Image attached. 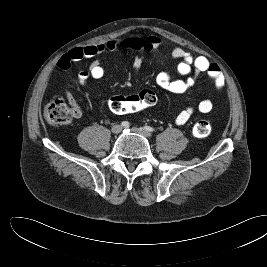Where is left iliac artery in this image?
Instances as JSON below:
<instances>
[{"label":"left iliac artery","instance_id":"1","mask_svg":"<svg viewBox=\"0 0 267 267\" xmlns=\"http://www.w3.org/2000/svg\"><path fill=\"white\" fill-rule=\"evenodd\" d=\"M144 129L147 130V131H150V132L154 131V128H152L150 126H145Z\"/></svg>","mask_w":267,"mask_h":267}]
</instances>
